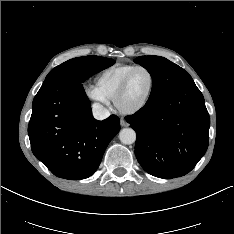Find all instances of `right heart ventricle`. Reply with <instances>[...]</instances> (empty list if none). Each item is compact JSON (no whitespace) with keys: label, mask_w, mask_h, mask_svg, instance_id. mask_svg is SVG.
Here are the masks:
<instances>
[{"label":"right heart ventricle","mask_w":234,"mask_h":234,"mask_svg":"<svg viewBox=\"0 0 234 234\" xmlns=\"http://www.w3.org/2000/svg\"><path fill=\"white\" fill-rule=\"evenodd\" d=\"M135 66L134 64H115L103 69L95 79L97 89L105 98L113 100L122 80Z\"/></svg>","instance_id":"1"}]
</instances>
